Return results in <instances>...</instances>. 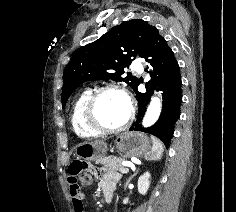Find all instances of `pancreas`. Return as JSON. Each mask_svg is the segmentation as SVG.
I'll use <instances>...</instances> for the list:
<instances>
[{"label":"pancreas","instance_id":"pancreas-1","mask_svg":"<svg viewBox=\"0 0 236 212\" xmlns=\"http://www.w3.org/2000/svg\"><path fill=\"white\" fill-rule=\"evenodd\" d=\"M124 160L125 158L123 157L110 156L97 161V163H101L102 165H104V171L106 172L115 170L120 171L123 168L122 162Z\"/></svg>","mask_w":236,"mask_h":212}]
</instances>
